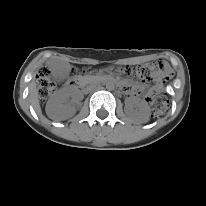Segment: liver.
<instances>
[{
  "label": "liver",
  "instance_id": "obj_1",
  "mask_svg": "<svg viewBox=\"0 0 206 206\" xmlns=\"http://www.w3.org/2000/svg\"><path fill=\"white\" fill-rule=\"evenodd\" d=\"M29 100L35 109L37 114H41V108L38 100V90L36 88V83L33 80L30 84L29 90ZM48 117L55 121H63L71 117V115L67 112H58V113H47Z\"/></svg>",
  "mask_w": 206,
  "mask_h": 206
}]
</instances>
